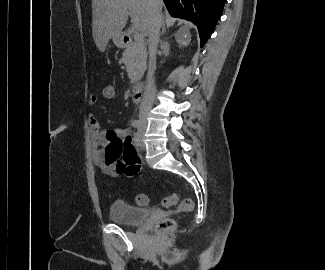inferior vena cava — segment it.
Segmentation results:
<instances>
[{
    "mask_svg": "<svg viewBox=\"0 0 325 270\" xmlns=\"http://www.w3.org/2000/svg\"><path fill=\"white\" fill-rule=\"evenodd\" d=\"M149 5L151 7V17L149 23V65H148V76L147 84L143 97V101L140 106L139 116L142 121H146V117L152 109L156 85L154 74L156 70V53L157 46L160 38V28L162 24V0H149Z\"/></svg>",
    "mask_w": 325,
    "mask_h": 270,
    "instance_id": "inferior-vena-cava-1",
    "label": "inferior vena cava"
}]
</instances>
